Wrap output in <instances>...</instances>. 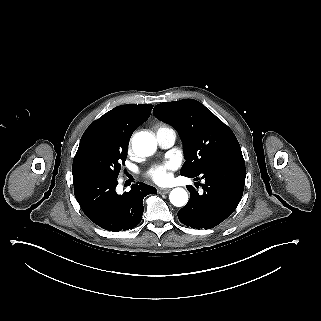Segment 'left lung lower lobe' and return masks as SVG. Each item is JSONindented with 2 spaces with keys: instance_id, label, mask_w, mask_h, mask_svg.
Segmentation results:
<instances>
[{
  "instance_id": "1",
  "label": "left lung lower lobe",
  "mask_w": 321,
  "mask_h": 321,
  "mask_svg": "<svg viewBox=\"0 0 321 321\" xmlns=\"http://www.w3.org/2000/svg\"><path fill=\"white\" fill-rule=\"evenodd\" d=\"M246 169L243 155L216 160L196 175L205 181L203 194L188 185L189 202L178 212L179 220L196 229H210L228 218L238 206L244 190Z\"/></svg>"
}]
</instances>
